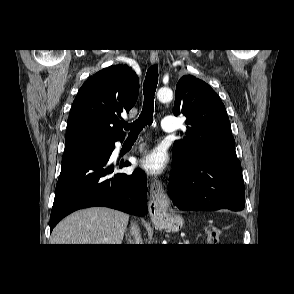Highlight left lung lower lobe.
<instances>
[{"label": "left lung lower lobe", "mask_w": 294, "mask_h": 294, "mask_svg": "<svg viewBox=\"0 0 294 294\" xmlns=\"http://www.w3.org/2000/svg\"><path fill=\"white\" fill-rule=\"evenodd\" d=\"M168 194L181 210H243L241 163L222 156L183 161L173 155Z\"/></svg>", "instance_id": "0a47b994"}]
</instances>
